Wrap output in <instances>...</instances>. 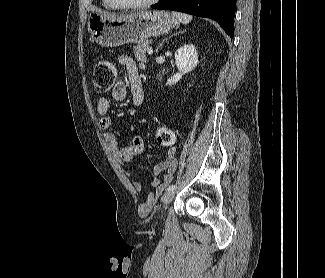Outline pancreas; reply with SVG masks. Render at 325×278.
Returning a JSON list of instances; mask_svg holds the SVG:
<instances>
[{
	"label": "pancreas",
	"instance_id": "1",
	"mask_svg": "<svg viewBox=\"0 0 325 278\" xmlns=\"http://www.w3.org/2000/svg\"><path fill=\"white\" fill-rule=\"evenodd\" d=\"M150 44H151V41L146 40L143 43L134 46L133 53L137 60H139L141 62L147 61L146 53H147V49L150 48Z\"/></svg>",
	"mask_w": 325,
	"mask_h": 278
}]
</instances>
